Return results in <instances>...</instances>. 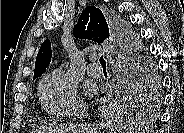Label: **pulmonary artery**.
<instances>
[{
  "mask_svg": "<svg viewBox=\"0 0 184 133\" xmlns=\"http://www.w3.org/2000/svg\"><path fill=\"white\" fill-rule=\"evenodd\" d=\"M95 59L96 56H91V60L93 61V63H90L87 66V73L91 77L98 78L102 75V70L99 66L96 65V63H94Z\"/></svg>",
  "mask_w": 184,
  "mask_h": 133,
  "instance_id": "e3ab8cb5",
  "label": "pulmonary artery"
}]
</instances>
